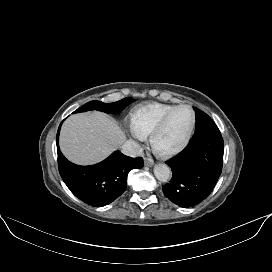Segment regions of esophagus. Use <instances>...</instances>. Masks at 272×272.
Wrapping results in <instances>:
<instances>
[{
  "mask_svg": "<svg viewBox=\"0 0 272 272\" xmlns=\"http://www.w3.org/2000/svg\"><path fill=\"white\" fill-rule=\"evenodd\" d=\"M144 164L145 166L151 167L154 164V161L151 158H145Z\"/></svg>",
  "mask_w": 272,
  "mask_h": 272,
  "instance_id": "obj_1",
  "label": "esophagus"
}]
</instances>
